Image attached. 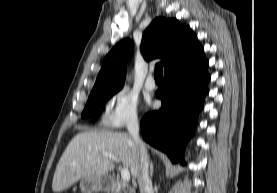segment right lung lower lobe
I'll list each match as a JSON object with an SVG mask.
<instances>
[{"mask_svg":"<svg viewBox=\"0 0 277 193\" xmlns=\"http://www.w3.org/2000/svg\"><path fill=\"white\" fill-rule=\"evenodd\" d=\"M203 48L165 72L164 84L156 92L161 109L141 121L143 139L165 152L172 162L181 160L186 142L194 133L210 75Z\"/></svg>","mask_w":277,"mask_h":193,"instance_id":"right-lung-lower-lobe-1","label":"right lung lower lobe"}]
</instances>
